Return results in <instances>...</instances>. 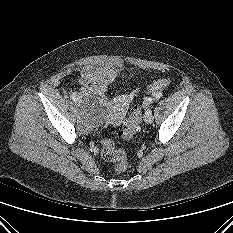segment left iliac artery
I'll return each mask as SVG.
<instances>
[{
  "instance_id": "1",
  "label": "left iliac artery",
  "mask_w": 233,
  "mask_h": 233,
  "mask_svg": "<svg viewBox=\"0 0 233 233\" xmlns=\"http://www.w3.org/2000/svg\"><path fill=\"white\" fill-rule=\"evenodd\" d=\"M146 113H152V110H151V109H148V110L146 111Z\"/></svg>"
}]
</instances>
